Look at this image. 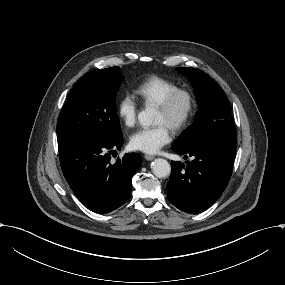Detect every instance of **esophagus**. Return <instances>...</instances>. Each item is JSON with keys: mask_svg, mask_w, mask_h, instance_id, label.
Wrapping results in <instances>:
<instances>
[{"mask_svg": "<svg viewBox=\"0 0 285 285\" xmlns=\"http://www.w3.org/2000/svg\"><path fill=\"white\" fill-rule=\"evenodd\" d=\"M144 158L148 161L153 160L154 156L153 155H145Z\"/></svg>", "mask_w": 285, "mask_h": 285, "instance_id": "34e87169", "label": "esophagus"}]
</instances>
